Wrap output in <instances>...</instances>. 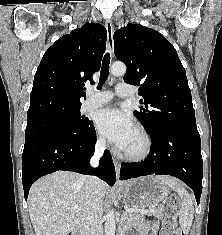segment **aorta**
Masks as SVG:
<instances>
[{"label":"aorta","mask_w":222,"mask_h":235,"mask_svg":"<svg viewBox=\"0 0 222 235\" xmlns=\"http://www.w3.org/2000/svg\"><path fill=\"white\" fill-rule=\"evenodd\" d=\"M126 65L122 62L113 63L111 66V73L114 76H122L126 73ZM115 216L113 210H110L106 215V222H105V235H115Z\"/></svg>","instance_id":"762f6f07"}]
</instances>
